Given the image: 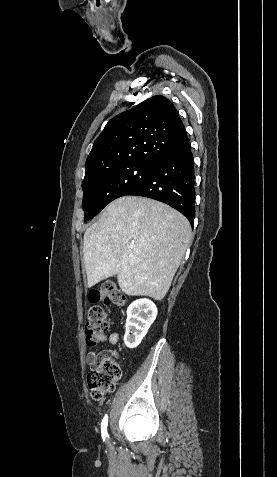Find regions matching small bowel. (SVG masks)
Wrapping results in <instances>:
<instances>
[{"mask_svg":"<svg viewBox=\"0 0 277 477\" xmlns=\"http://www.w3.org/2000/svg\"><path fill=\"white\" fill-rule=\"evenodd\" d=\"M118 339H119V336L116 332L112 333L109 335V338H108V343L109 345H115L117 342H118ZM112 353V349H105V350H101L99 352H94V351H91L87 354V362L88 364H92L94 362H96L98 359L106 356V355H109Z\"/></svg>","mask_w":277,"mask_h":477,"instance_id":"1","label":"small bowel"}]
</instances>
